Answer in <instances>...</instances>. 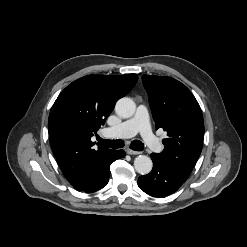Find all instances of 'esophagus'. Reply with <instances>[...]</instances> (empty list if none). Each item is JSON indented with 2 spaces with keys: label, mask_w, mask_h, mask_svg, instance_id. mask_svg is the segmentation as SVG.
I'll return each instance as SVG.
<instances>
[{
  "label": "esophagus",
  "mask_w": 247,
  "mask_h": 247,
  "mask_svg": "<svg viewBox=\"0 0 247 247\" xmlns=\"http://www.w3.org/2000/svg\"><path fill=\"white\" fill-rule=\"evenodd\" d=\"M126 151L130 155H138V154H140L139 151H135V150H132V149H127Z\"/></svg>",
  "instance_id": "1"
}]
</instances>
